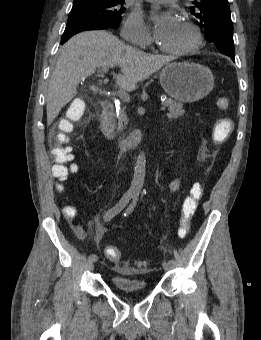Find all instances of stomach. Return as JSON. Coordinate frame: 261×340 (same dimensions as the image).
Listing matches in <instances>:
<instances>
[{"mask_svg":"<svg viewBox=\"0 0 261 340\" xmlns=\"http://www.w3.org/2000/svg\"><path fill=\"white\" fill-rule=\"evenodd\" d=\"M163 90L174 100L192 103L206 97L214 87L211 70L201 64L178 62L167 64L160 72Z\"/></svg>","mask_w":261,"mask_h":340,"instance_id":"1","label":"stomach"}]
</instances>
